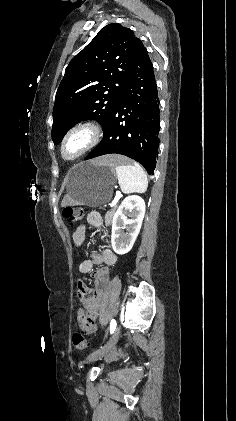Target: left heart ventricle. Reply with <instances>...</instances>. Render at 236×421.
<instances>
[{
  "label": "left heart ventricle",
  "instance_id": "b2bd125f",
  "mask_svg": "<svg viewBox=\"0 0 236 421\" xmlns=\"http://www.w3.org/2000/svg\"><path fill=\"white\" fill-rule=\"evenodd\" d=\"M86 142V136L83 133H77L71 136L64 147V158L73 159L83 148Z\"/></svg>",
  "mask_w": 236,
  "mask_h": 421
}]
</instances>
